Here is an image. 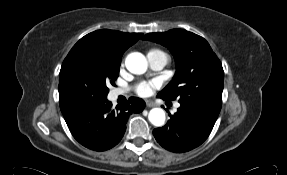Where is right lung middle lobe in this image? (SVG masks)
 <instances>
[{"instance_id": "obj_1", "label": "right lung middle lobe", "mask_w": 287, "mask_h": 175, "mask_svg": "<svg viewBox=\"0 0 287 175\" xmlns=\"http://www.w3.org/2000/svg\"><path fill=\"white\" fill-rule=\"evenodd\" d=\"M120 62L94 58L86 45L71 51L59 74V104L62 114L94 106L107 98L108 85H114Z\"/></svg>"}]
</instances>
